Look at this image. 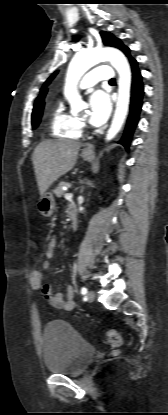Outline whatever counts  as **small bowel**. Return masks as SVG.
I'll use <instances>...</instances> for the list:
<instances>
[{
  "instance_id": "c3829d8e",
  "label": "small bowel",
  "mask_w": 168,
  "mask_h": 415,
  "mask_svg": "<svg viewBox=\"0 0 168 415\" xmlns=\"http://www.w3.org/2000/svg\"><path fill=\"white\" fill-rule=\"evenodd\" d=\"M57 242L54 237L50 238L45 246V257L43 262V269H49L51 267V259L54 256ZM32 274V273H31ZM43 296L48 300L51 306L54 308L71 311L75 307L74 290L71 286L66 289L65 295L61 292L53 293V288L50 284H44L41 290Z\"/></svg>"
}]
</instances>
